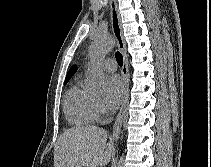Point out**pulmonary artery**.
Wrapping results in <instances>:
<instances>
[{"label": "pulmonary artery", "instance_id": "1", "mask_svg": "<svg viewBox=\"0 0 211 167\" xmlns=\"http://www.w3.org/2000/svg\"><path fill=\"white\" fill-rule=\"evenodd\" d=\"M102 66L108 72H114L117 69V63L111 58L106 59Z\"/></svg>", "mask_w": 211, "mask_h": 167}]
</instances>
